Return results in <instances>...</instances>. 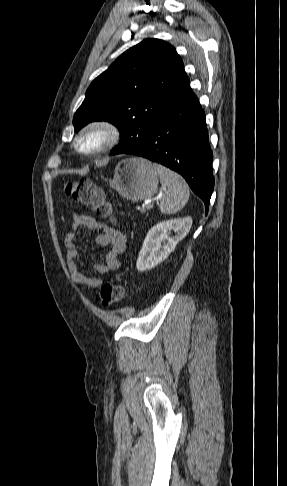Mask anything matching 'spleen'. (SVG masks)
I'll list each match as a JSON object with an SVG mask.
<instances>
[{"label": "spleen", "mask_w": 287, "mask_h": 486, "mask_svg": "<svg viewBox=\"0 0 287 486\" xmlns=\"http://www.w3.org/2000/svg\"><path fill=\"white\" fill-rule=\"evenodd\" d=\"M158 171L164 193L160 198V211L170 215L180 211L189 200V187L186 181L176 172L159 164H154Z\"/></svg>", "instance_id": "spleen-1"}]
</instances>
